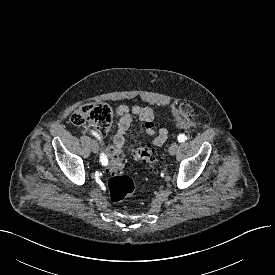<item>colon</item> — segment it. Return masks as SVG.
Returning <instances> with one entry per match:
<instances>
[{"label":"colon","mask_w":275,"mask_h":275,"mask_svg":"<svg viewBox=\"0 0 275 275\" xmlns=\"http://www.w3.org/2000/svg\"><path fill=\"white\" fill-rule=\"evenodd\" d=\"M176 125L180 129H187L194 120V110L188 103H178L173 107ZM113 110L103 102H89L78 107L70 117L74 126L86 123L94 125L101 133H106L112 123ZM136 160L143 162L152 170L157 169L158 161L153 151L148 147H139L134 152ZM125 160L122 157L112 160L107 168L109 173L108 189L113 203H121L135 193L133 180L124 174Z\"/></svg>","instance_id":"colon-1"}]
</instances>
